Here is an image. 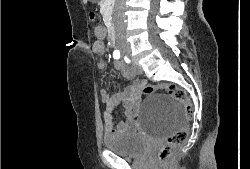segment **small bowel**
<instances>
[{
    "instance_id": "obj_1",
    "label": "small bowel",
    "mask_w": 250,
    "mask_h": 169,
    "mask_svg": "<svg viewBox=\"0 0 250 169\" xmlns=\"http://www.w3.org/2000/svg\"><path fill=\"white\" fill-rule=\"evenodd\" d=\"M95 34L97 40L94 43V51L96 55H103L105 49L104 30L97 27L95 29ZM97 67L100 69L105 68V62L103 60L98 61ZM114 67L125 79L132 80V83L123 91L115 94H111L106 90L102 92L103 100L106 104L104 112L106 134L135 133L139 127L137 116L141 108L140 89L144 83L135 79L134 74L126 69L120 62H115ZM119 105L123 107L125 120L123 122L115 123L113 112Z\"/></svg>"
}]
</instances>
